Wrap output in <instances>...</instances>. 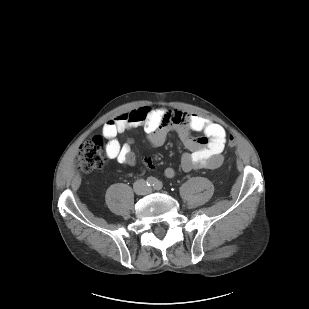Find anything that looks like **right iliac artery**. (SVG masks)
<instances>
[{"label":"right iliac artery","instance_id":"1","mask_svg":"<svg viewBox=\"0 0 309 309\" xmlns=\"http://www.w3.org/2000/svg\"><path fill=\"white\" fill-rule=\"evenodd\" d=\"M156 182V179L154 177H149L146 181L148 186H154Z\"/></svg>","mask_w":309,"mask_h":309}]
</instances>
